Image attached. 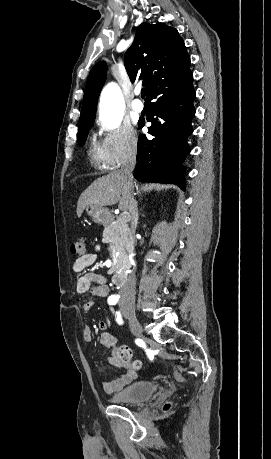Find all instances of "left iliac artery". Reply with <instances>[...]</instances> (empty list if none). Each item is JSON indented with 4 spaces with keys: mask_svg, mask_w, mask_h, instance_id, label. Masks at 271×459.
I'll return each instance as SVG.
<instances>
[{
    "mask_svg": "<svg viewBox=\"0 0 271 459\" xmlns=\"http://www.w3.org/2000/svg\"><path fill=\"white\" fill-rule=\"evenodd\" d=\"M116 321H117L119 324H122V323H123L120 312H117Z\"/></svg>",
    "mask_w": 271,
    "mask_h": 459,
    "instance_id": "44dca946",
    "label": "left iliac artery"
}]
</instances>
